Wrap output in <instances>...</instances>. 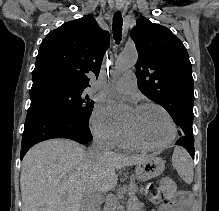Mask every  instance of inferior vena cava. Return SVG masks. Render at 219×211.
Returning a JSON list of instances; mask_svg holds the SVG:
<instances>
[{
  "label": "inferior vena cava",
  "instance_id": "obj_1",
  "mask_svg": "<svg viewBox=\"0 0 219 211\" xmlns=\"http://www.w3.org/2000/svg\"><path fill=\"white\" fill-rule=\"evenodd\" d=\"M90 151L92 153L93 159H101V157H106V155L111 153L110 147L106 145V141L103 139V137H95V139H93L92 149H90ZM96 164L99 166L101 163L98 161ZM94 169L97 171L99 168L96 166ZM85 200L87 202H83L82 206L88 208H82L81 211H96L95 208H89L93 207L94 203L88 202L90 200L88 197Z\"/></svg>",
  "mask_w": 219,
  "mask_h": 211
}]
</instances>
